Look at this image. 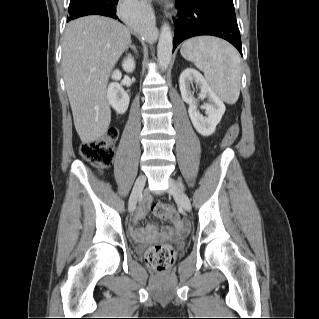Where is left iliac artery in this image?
<instances>
[{"label": "left iliac artery", "instance_id": "obj_1", "mask_svg": "<svg viewBox=\"0 0 319 319\" xmlns=\"http://www.w3.org/2000/svg\"><path fill=\"white\" fill-rule=\"evenodd\" d=\"M179 186H180L182 189H184V186L182 185V183H179Z\"/></svg>", "mask_w": 319, "mask_h": 319}]
</instances>
